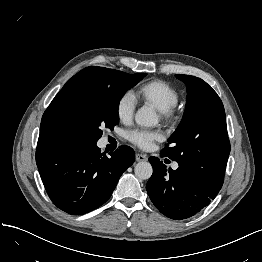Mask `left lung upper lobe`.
Listing matches in <instances>:
<instances>
[{"mask_svg": "<svg viewBox=\"0 0 262 262\" xmlns=\"http://www.w3.org/2000/svg\"><path fill=\"white\" fill-rule=\"evenodd\" d=\"M187 86V103L181 123L169 138L172 147L161 151L177 161L207 188L222 187L230 153L225 110L217 93L202 79L176 74Z\"/></svg>", "mask_w": 262, "mask_h": 262, "instance_id": "left-lung-upper-lobe-1", "label": "left lung upper lobe"}]
</instances>
